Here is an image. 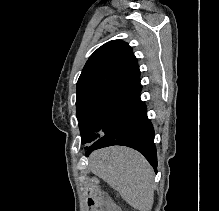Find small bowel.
Instances as JSON below:
<instances>
[{
	"mask_svg": "<svg viewBox=\"0 0 219 211\" xmlns=\"http://www.w3.org/2000/svg\"><path fill=\"white\" fill-rule=\"evenodd\" d=\"M95 211H121L111 200L108 194L102 193L99 206Z\"/></svg>",
	"mask_w": 219,
	"mask_h": 211,
	"instance_id": "obj_1",
	"label": "small bowel"
}]
</instances>
